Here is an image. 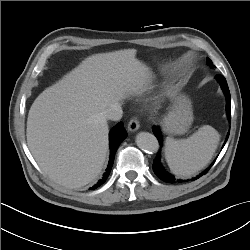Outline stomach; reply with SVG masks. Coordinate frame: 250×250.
Segmentation results:
<instances>
[{
	"mask_svg": "<svg viewBox=\"0 0 250 250\" xmlns=\"http://www.w3.org/2000/svg\"><path fill=\"white\" fill-rule=\"evenodd\" d=\"M169 91L174 104L164 116L162 127L164 132L168 134L181 135L188 131L193 122L191 101L186 95L179 93L175 86H171Z\"/></svg>",
	"mask_w": 250,
	"mask_h": 250,
	"instance_id": "obj_1",
	"label": "stomach"
}]
</instances>
